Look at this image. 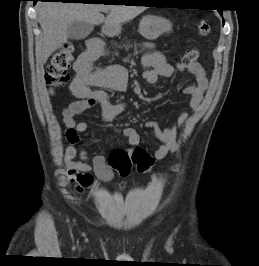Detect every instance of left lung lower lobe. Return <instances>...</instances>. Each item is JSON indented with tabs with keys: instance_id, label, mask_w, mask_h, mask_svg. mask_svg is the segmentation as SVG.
I'll return each mask as SVG.
<instances>
[{
	"instance_id": "0a47b994",
	"label": "left lung lower lobe",
	"mask_w": 259,
	"mask_h": 266,
	"mask_svg": "<svg viewBox=\"0 0 259 266\" xmlns=\"http://www.w3.org/2000/svg\"><path fill=\"white\" fill-rule=\"evenodd\" d=\"M220 14L222 15V10H219ZM223 24H224V20H223Z\"/></svg>"
}]
</instances>
